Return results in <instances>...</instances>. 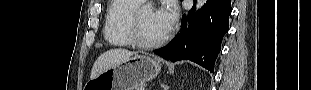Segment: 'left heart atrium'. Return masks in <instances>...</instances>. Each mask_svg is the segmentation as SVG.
<instances>
[{
	"label": "left heart atrium",
	"instance_id": "1",
	"mask_svg": "<svg viewBox=\"0 0 311 90\" xmlns=\"http://www.w3.org/2000/svg\"><path fill=\"white\" fill-rule=\"evenodd\" d=\"M156 17L168 32L177 20V10L173 3L167 4L156 11Z\"/></svg>",
	"mask_w": 311,
	"mask_h": 90
}]
</instances>
